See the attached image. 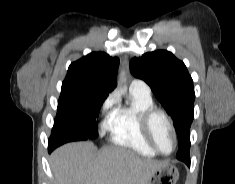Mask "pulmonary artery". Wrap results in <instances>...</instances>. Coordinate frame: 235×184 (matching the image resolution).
<instances>
[{"label":"pulmonary artery","instance_id":"e3ab8cb5","mask_svg":"<svg viewBox=\"0 0 235 184\" xmlns=\"http://www.w3.org/2000/svg\"><path fill=\"white\" fill-rule=\"evenodd\" d=\"M130 90L142 97H151L150 86L143 80L133 79L130 83Z\"/></svg>","mask_w":235,"mask_h":184}]
</instances>
